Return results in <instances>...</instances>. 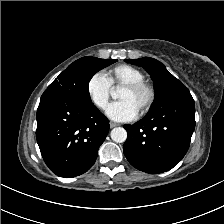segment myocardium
Masks as SVG:
<instances>
[{
	"instance_id": "1",
	"label": "myocardium",
	"mask_w": 224,
	"mask_h": 224,
	"mask_svg": "<svg viewBox=\"0 0 224 224\" xmlns=\"http://www.w3.org/2000/svg\"><path fill=\"white\" fill-rule=\"evenodd\" d=\"M122 88L131 92L144 91L146 93V99L138 111L140 115L146 114L152 108L156 99V90L152 84L142 80L124 84Z\"/></svg>"
}]
</instances>
